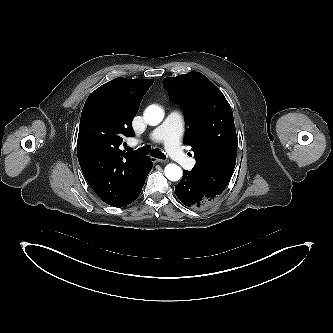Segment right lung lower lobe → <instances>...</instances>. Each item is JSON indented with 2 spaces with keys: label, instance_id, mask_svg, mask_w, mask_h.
Returning a JSON list of instances; mask_svg holds the SVG:
<instances>
[{
  "label": "right lung lower lobe",
  "instance_id": "1",
  "mask_svg": "<svg viewBox=\"0 0 333 333\" xmlns=\"http://www.w3.org/2000/svg\"><path fill=\"white\" fill-rule=\"evenodd\" d=\"M151 168H152V162L150 161L149 158H147V160L141 167L139 174L137 175V177L135 179L134 186L131 190V193L125 199V201L118 207H124V206L132 203L134 200H136V198L139 196V194L142 190L146 177H147L148 173L150 172Z\"/></svg>",
  "mask_w": 333,
  "mask_h": 333
}]
</instances>
